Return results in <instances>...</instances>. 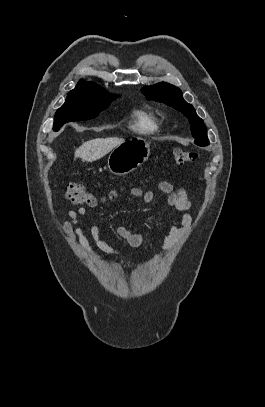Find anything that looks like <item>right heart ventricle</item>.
<instances>
[{
    "mask_svg": "<svg viewBox=\"0 0 265 407\" xmlns=\"http://www.w3.org/2000/svg\"><path fill=\"white\" fill-rule=\"evenodd\" d=\"M131 128L140 134H152L158 130L159 125L152 112L138 109L134 111Z\"/></svg>",
    "mask_w": 265,
    "mask_h": 407,
    "instance_id": "e07e8e85",
    "label": "right heart ventricle"
}]
</instances>
